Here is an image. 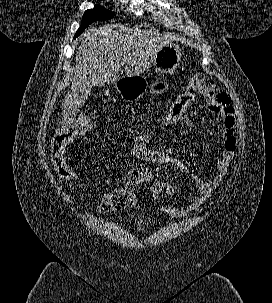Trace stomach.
Instances as JSON below:
<instances>
[{
	"mask_svg": "<svg viewBox=\"0 0 272 303\" xmlns=\"http://www.w3.org/2000/svg\"><path fill=\"white\" fill-rule=\"evenodd\" d=\"M180 61L181 50L179 46L169 43L158 51L153 64L160 74H173L179 67ZM116 89L122 98L136 101L143 96L146 81L144 77L140 76L124 77L116 82Z\"/></svg>",
	"mask_w": 272,
	"mask_h": 303,
	"instance_id": "0dacf381",
	"label": "stomach"
}]
</instances>
